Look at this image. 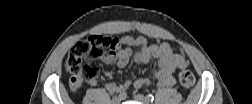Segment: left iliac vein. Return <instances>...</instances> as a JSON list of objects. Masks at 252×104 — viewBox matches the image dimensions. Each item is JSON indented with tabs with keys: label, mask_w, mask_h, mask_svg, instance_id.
Wrapping results in <instances>:
<instances>
[{
	"label": "left iliac vein",
	"mask_w": 252,
	"mask_h": 104,
	"mask_svg": "<svg viewBox=\"0 0 252 104\" xmlns=\"http://www.w3.org/2000/svg\"><path fill=\"white\" fill-rule=\"evenodd\" d=\"M134 99L142 104H146L148 103L147 99L145 96H143L142 94H136L134 95Z\"/></svg>",
	"instance_id": "1"
}]
</instances>
